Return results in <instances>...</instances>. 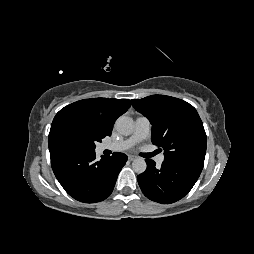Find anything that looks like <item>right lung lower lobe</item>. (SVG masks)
<instances>
[{
  "label": "right lung lower lobe",
  "instance_id": "obj_1",
  "mask_svg": "<svg viewBox=\"0 0 254 254\" xmlns=\"http://www.w3.org/2000/svg\"><path fill=\"white\" fill-rule=\"evenodd\" d=\"M50 157L53 172L64 190L85 203L106 199L127 161L125 154L117 152L96 161L95 151L71 147L53 149Z\"/></svg>",
  "mask_w": 254,
  "mask_h": 254
}]
</instances>
